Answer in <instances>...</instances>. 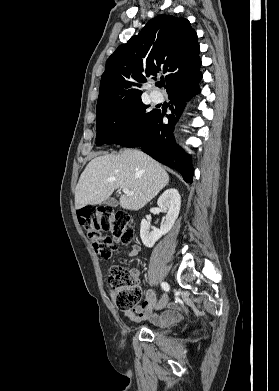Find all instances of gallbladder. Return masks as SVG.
I'll return each instance as SVG.
<instances>
[{
    "label": "gallbladder",
    "mask_w": 279,
    "mask_h": 391,
    "mask_svg": "<svg viewBox=\"0 0 279 391\" xmlns=\"http://www.w3.org/2000/svg\"><path fill=\"white\" fill-rule=\"evenodd\" d=\"M104 203L112 207H116L118 205V201L115 198H108Z\"/></svg>",
    "instance_id": "bac80fb5"
}]
</instances>
